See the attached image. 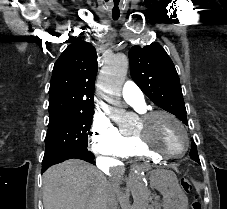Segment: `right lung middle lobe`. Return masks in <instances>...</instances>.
I'll list each match as a JSON object with an SVG mask.
<instances>
[{
	"label": "right lung middle lobe",
	"instance_id": "1",
	"mask_svg": "<svg viewBox=\"0 0 227 209\" xmlns=\"http://www.w3.org/2000/svg\"><path fill=\"white\" fill-rule=\"evenodd\" d=\"M94 113V100L67 98L58 100L49 109V124L45 138L42 169L48 159L65 152L88 151L87 142Z\"/></svg>",
	"mask_w": 227,
	"mask_h": 209
}]
</instances>
